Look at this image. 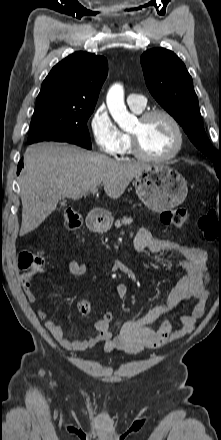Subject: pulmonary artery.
I'll list each match as a JSON object with an SVG mask.
<instances>
[{
	"instance_id": "1",
	"label": "pulmonary artery",
	"mask_w": 221,
	"mask_h": 440,
	"mask_svg": "<svg viewBox=\"0 0 221 440\" xmlns=\"http://www.w3.org/2000/svg\"><path fill=\"white\" fill-rule=\"evenodd\" d=\"M127 103L131 108L142 110L146 105V99L143 95L134 93L127 97Z\"/></svg>"
}]
</instances>
